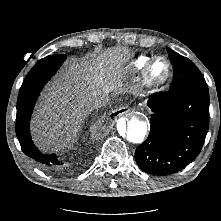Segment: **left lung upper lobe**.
<instances>
[{
    "label": "left lung upper lobe",
    "mask_w": 221,
    "mask_h": 221,
    "mask_svg": "<svg viewBox=\"0 0 221 221\" xmlns=\"http://www.w3.org/2000/svg\"><path fill=\"white\" fill-rule=\"evenodd\" d=\"M167 52L173 63V82L169 90H176L189 84L205 82L203 75L191 60L170 48H167Z\"/></svg>",
    "instance_id": "1"
}]
</instances>
